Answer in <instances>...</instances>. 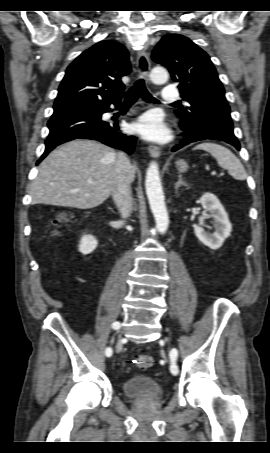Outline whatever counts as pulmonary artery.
I'll return each instance as SVG.
<instances>
[{
    "mask_svg": "<svg viewBox=\"0 0 270 453\" xmlns=\"http://www.w3.org/2000/svg\"><path fill=\"white\" fill-rule=\"evenodd\" d=\"M180 97L179 91L173 85H168L163 89L164 101H176Z\"/></svg>",
    "mask_w": 270,
    "mask_h": 453,
    "instance_id": "1",
    "label": "pulmonary artery"
}]
</instances>
